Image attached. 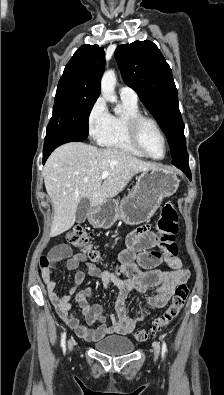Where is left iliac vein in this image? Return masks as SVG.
<instances>
[{"mask_svg":"<svg viewBox=\"0 0 224 395\" xmlns=\"http://www.w3.org/2000/svg\"><path fill=\"white\" fill-rule=\"evenodd\" d=\"M153 349H154L155 358L157 359L160 355V345L157 341L154 342Z\"/></svg>","mask_w":224,"mask_h":395,"instance_id":"left-iliac-vein-1","label":"left iliac vein"}]
</instances>
